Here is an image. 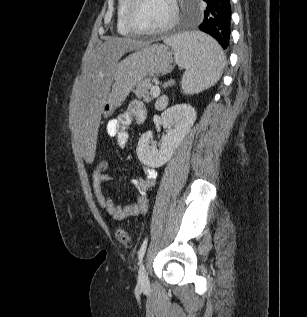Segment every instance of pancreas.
<instances>
[{"label": "pancreas", "instance_id": "pancreas-1", "mask_svg": "<svg viewBox=\"0 0 307 317\" xmlns=\"http://www.w3.org/2000/svg\"><path fill=\"white\" fill-rule=\"evenodd\" d=\"M152 85L149 79H146L142 82H139L134 89V94L138 98H142L145 102H149L153 99L149 90L151 89Z\"/></svg>", "mask_w": 307, "mask_h": 317}]
</instances>
